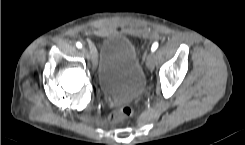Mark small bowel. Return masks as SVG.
I'll return each instance as SVG.
<instances>
[{"label": "small bowel", "instance_id": "small-bowel-1", "mask_svg": "<svg viewBox=\"0 0 245 145\" xmlns=\"http://www.w3.org/2000/svg\"><path fill=\"white\" fill-rule=\"evenodd\" d=\"M109 32H110L109 30H103V31H99L98 34L103 36V35L109 34ZM132 33L135 35L148 36V35H150V30L148 28H142V29L133 31Z\"/></svg>", "mask_w": 245, "mask_h": 145}]
</instances>
